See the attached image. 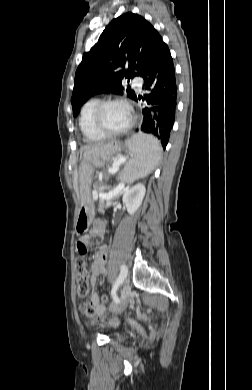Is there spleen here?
I'll return each mask as SVG.
<instances>
[{"instance_id":"3e777b00","label":"spleen","mask_w":252,"mask_h":390,"mask_svg":"<svg viewBox=\"0 0 252 390\" xmlns=\"http://www.w3.org/2000/svg\"><path fill=\"white\" fill-rule=\"evenodd\" d=\"M126 144L132 155L121 174V179L123 182L133 183L154 170L161 159L162 150L155 137L143 133L135 134Z\"/></svg>"}]
</instances>
